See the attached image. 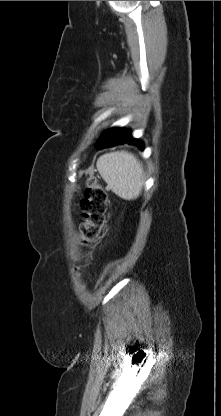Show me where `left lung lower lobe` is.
<instances>
[{"instance_id": "1", "label": "left lung lower lobe", "mask_w": 221, "mask_h": 416, "mask_svg": "<svg viewBox=\"0 0 221 416\" xmlns=\"http://www.w3.org/2000/svg\"><path fill=\"white\" fill-rule=\"evenodd\" d=\"M124 143L136 145L141 150L144 149L143 143L141 141L137 140V139H133L132 136L130 135V133L128 135L124 136V137L117 138L113 141H108V142L107 141H105V142L98 141L96 143L95 147L97 149H102V148H105V147L115 146V145L124 144Z\"/></svg>"}]
</instances>
